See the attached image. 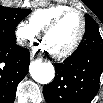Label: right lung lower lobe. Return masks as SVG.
Masks as SVG:
<instances>
[{
  "label": "right lung lower lobe",
  "instance_id": "98d812e1",
  "mask_svg": "<svg viewBox=\"0 0 103 103\" xmlns=\"http://www.w3.org/2000/svg\"><path fill=\"white\" fill-rule=\"evenodd\" d=\"M30 53L16 41L0 39V103L15 99L18 83L26 76Z\"/></svg>",
  "mask_w": 103,
  "mask_h": 103
}]
</instances>
